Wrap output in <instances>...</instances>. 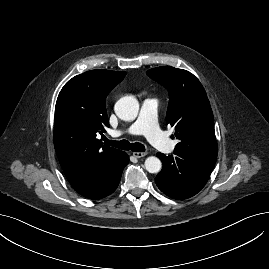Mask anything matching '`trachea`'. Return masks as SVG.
I'll return each instance as SVG.
<instances>
[{
    "instance_id": "trachea-1",
    "label": "trachea",
    "mask_w": 269,
    "mask_h": 269,
    "mask_svg": "<svg viewBox=\"0 0 269 269\" xmlns=\"http://www.w3.org/2000/svg\"><path fill=\"white\" fill-rule=\"evenodd\" d=\"M105 144L108 146H113L122 150H131L133 152H144L145 146L141 143H130L127 140H121V141H112L105 138Z\"/></svg>"
}]
</instances>
